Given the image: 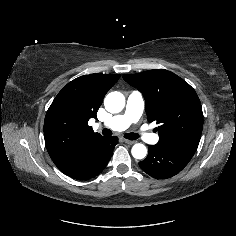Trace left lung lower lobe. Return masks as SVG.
I'll use <instances>...</instances> for the list:
<instances>
[{
    "label": "left lung lower lobe",
    "mask_w": 236,
    "mask_h": 236,
    "mask_svg": "<svg viewBox=\"0 0 236 236\" xmlns=\"http://www.w3.org/2000/svg\"><path fill=\"white\" fill-rule=\"evenodd\" d=\"M197 147V145L186 144L149 145V155L139 162V166L153 178H170L188 164Z\"/></svg>",
    "instance_id": "1"
}]
</instances>
